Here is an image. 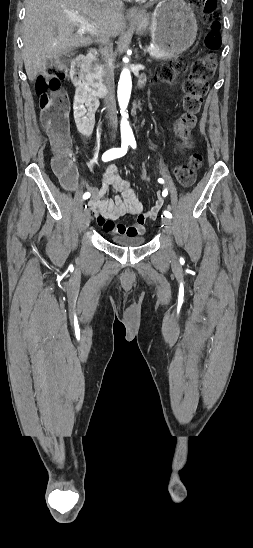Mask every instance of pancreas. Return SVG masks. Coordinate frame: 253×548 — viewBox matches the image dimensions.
Segmentation results:
<instances>
[{
  "instance_id": "1",
  "label": "pancreas",
  "mask_w": 253,
  "mask_h": 548,
  "mask_svg": "<svg viewBox=\"0 0 253 548\" xmlns=\"http://www.w3.org/2000/svg\"><path fill=\"white\" fill-rule=\"evenodd\" d=\"M149 54L154 59H162V60H167V59H170V58H173V57L176 56L172 53H169V52H166V51L160 49L157 46H154L153 49L149 51ZM89 72H90V77L93 80L97 81L96 84L101 82L102 70H101V66L99 64L92 65L89 69Z\"/></svg>"
}]
</instances>
